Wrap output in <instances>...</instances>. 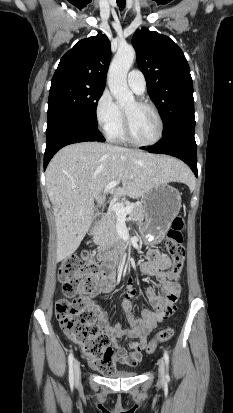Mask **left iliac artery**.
Instances as JSON below:
<instances>
[{"mask_svg":"<svg viewBox=\"0 0 233 413\" xmlns=\"http://www.w3.org/2000/svg\"><path fill=\"white\" fill-rule=\"evenodd\" d=\"M164 359H165V363H166V367H167V373L165 375V378L167 381H169L170 377H169V373H168V367H169V355L167 353V351H164Z\"/></svg>","mask_w":233,"mask_h":413,"instance_id":"44dca946","label":"left iliac artery"}]
</instances>
